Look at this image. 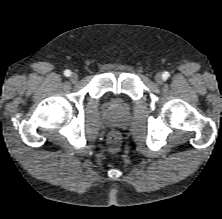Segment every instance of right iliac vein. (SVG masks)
Instances as JSON below:
<instances>
[{"instance_id": "right-iliac-vein-1", "label": "right iliac vein", "mask_w": 222, "mask_h": 219, "mask_svg": "<svg viewBox=\"0 0 222 219\" xmlns=\"http://www.w3.org/2000/svg\"><path fill=\"white\" fill-rule=\"evenodd\" d=\"M70 80H71L72 82H76V81L78 80V74H77V73H72V74L70 75Z\"/></svg>"}]
</instances>
